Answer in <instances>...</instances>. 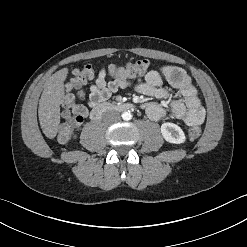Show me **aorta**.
I'll return each instance as SVG.
<instances>
[{"instance_id": "obj_1", "label": "aorta", "mask_w": 247, "mask_h": 247, "mask_svg": "<svg viewBox=\"0 0 247 247\" xmlns=\"http://www.w3.org/2000/svg\"><path fill=\"white\" fill-rule=\"evenodd\" d=\"M121 116L125 121H129L132 118V115L129 111H124Z\"/></svg>"}]
</instances>
